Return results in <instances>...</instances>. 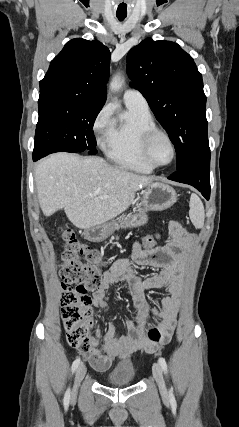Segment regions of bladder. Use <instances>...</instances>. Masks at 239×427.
<instances>
[{"instance_id": "bladder-1", "label": "bladder", "mask_w": 239, "mask_h": 427, "mask_svg": "<svg viewBox=\"0 0 239 427\" xmlns=\"http://www.w3.org/2000/svg\"><path fill=\"white\" fill-rule=\"evenodd\" d=\"M135 380V370L131 367L120 368L106 378L108 385L113 387H125L131 385Z\"/></svg>"}]
</instances>
